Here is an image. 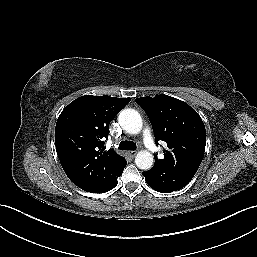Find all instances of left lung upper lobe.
I'll return each mask as SVG.
<instances>
[{"instance_id":"left-lung-upper-lobe-1","label":"left lung upper lobe","mask_w":257,"mask_h":257,"mask_svg":"<svg viewBox=\"0 0 257 257\" xmlns=\"http://www.w3.org/2000/svg\"><path fill=\"white\" fill-rule=\"evenodd\" d=\"M147 113L155 142H166L164 157L155 156L156 166H169L195 174L205 152V126L198 113L187 103L168 95L135 99Z\"/></svg>"}]
</instances>
